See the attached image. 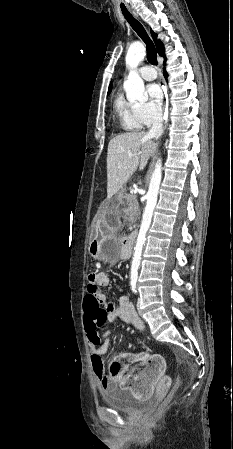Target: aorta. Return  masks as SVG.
<instances>
[{"mask_svg": "<svg viewBox=\"0 0 233 449\" xmlns=\"http://www.w3.org/2000/svg\"><path fill=\"white\" fill-rule=\"evenodd\" d=\"M145 47L142 43H133L126 55V65L129 68V74L124 82V89L129 100L146 101L148 95L145 92L144 82L136 72L139 63L145 57ZM162 179V162L158 159L155 169L150 179L149 190L146 195V206L143 213L142 223L134 248V255L131 266V278L137 279L138 269L140 266L141 254L146 241V233L150 227L153 212L157 203L158 191Z\"/></svg>", "mask_w": 233, "mask_h": 449, "instance_id": "762f6f07", "label": "aorta"}]
</instances>
